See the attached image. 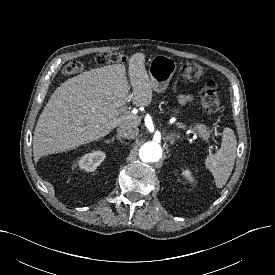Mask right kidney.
I'll return each instance as SVG.
<instances>
[{
    "mask_svg": "<svg viewBox=\"0 0 275 275\" xmlns=\"http://www.w3.org/2000/svg\"><path fill=\"white\" fill-rule=\"evenodd\" d=\"M104 159L105 153L98 150L85 154L77 162L81 169L87 172H92L96 170V168L103 162Z\"/></svg>",
    "mask_w": 275,
    "mask_h": 275,
    "instance_id": "ca27d5eb",
    "label": "right kidney"
}]
</instances>
